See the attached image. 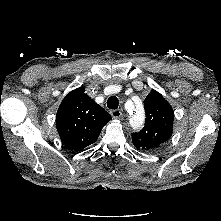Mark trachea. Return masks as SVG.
Masks as SVG:
<instances>
[{
  "label": "trachea",
  "instance_id": "1",
  "mask_svg": "<svg viewBox=\"0 0 221 221\" xmlns=\"http://www.w3.org/2000/svg\"><path fill=\"white\" fill-rule=\"evenodd\" d=\"M107 106H108V108H110L112 110L117 109L119 106L118 98L116 96L109 97L107 100Z\"/></svg>",
  "mask_w": 221,
  "mask_h": 221
}]
</instances>
